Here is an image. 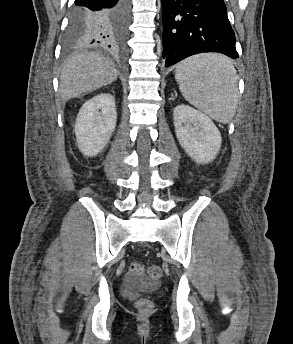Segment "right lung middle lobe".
I'll list each match as a JSON object with an SVG mask.
<instances>
[{"label":"right lung middle lobe","mask_w":293,"mask_h":344,"mask_svg":"<svg viewBox=\"0 0 293 344\" xmlns=\"http://www.w3.org/2000/svg\"><path fill=\"white\" fill-rule=\"evenodd\" d=\"M89 23V17L81 11H72L69 27L65 37L67 47L86 43L84 26Z\"/></svg>","instance_id":"dd1d6c3e"}]
</instances>
